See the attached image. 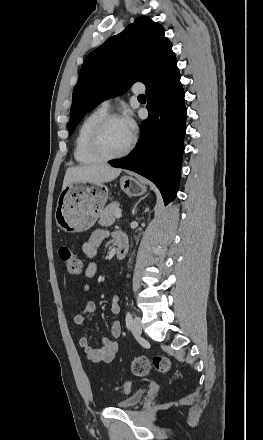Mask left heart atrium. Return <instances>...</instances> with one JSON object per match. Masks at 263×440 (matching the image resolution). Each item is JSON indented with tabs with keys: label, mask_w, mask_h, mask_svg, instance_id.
<instances>
[{
	"label": "left heart atrium",
	"mask_w": 263,
	"mask_h": 440,
	"mask_svg": "<svg viewBox=\"0 0 263 440\" xmlns=\"http://www.w3.org/2000/svg\"><path fill=\"white\" fill-rule=\"evenodd\" d=\"M122 121H123L124 125L126 126V128L128 129V131L130 133H132L133 129H134V123H133L132 119L129 116H125Z\"/></svg>",
	"instance_id": "obj_1"
}]
</instances>
